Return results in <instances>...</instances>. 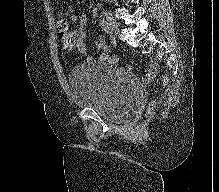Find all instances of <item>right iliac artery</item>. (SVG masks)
I'll use <instances>...</instances> for the list:
<instances>
[{"label":"right iliac artery","instance_id":"1","mask_svg":"<svg viewBox=\"0 0 219 192\" xmlns=\"http://www.w3.org/2000/svg\"><path fill=\"white\" fill-rule=\"evenodd\" d=\"M100 26L102 27V29L108 33V34H111L112 31H111V28H110V25L109 23L106 21V14L103 13L101 15V20H100Z\"/></svg>","mask_w":219,"mask_h":192}]
</instances>
